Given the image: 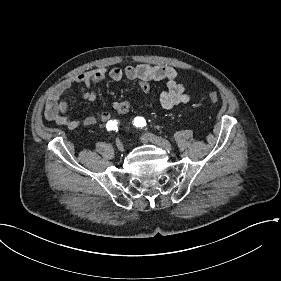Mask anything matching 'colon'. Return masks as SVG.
<instances>
[{"instance_id":"colon-1","label":"colon","mask_w":281,"mask_h":281,"mask_svg":"<svg viewBox=\"0 0 281 281\" xmlns=\"http://www.w3.org/2000/svg\"><path fill=\"white\" fill-rule=\"evenodd\" d=\"M208 101H209V103H211V104L219 103V102H220V96H219V94H217V93H210V94L208 95Z\"/></svg>"}]
</instances>
